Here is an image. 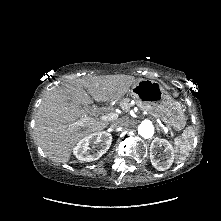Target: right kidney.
Returning a JSON list of instances; mask_svg holds the SVG:
<instances>
[{"label": "right kidney", "mask_w": 221, "mask_h": 221, "mask_svg": "<svg viewBox=\"0 0 221 221\" xmlns=\"http://www.w3.org/2000/svg\"><path fill=\"white\" fill-rule=\"evenodd\" d=\"M112 135L107 132L93 133L80 140L73 149L76 158L83 162H91L99 159L110 148ZM95 144H98L95 146ZM97 148V149H92Z\"/></svg>", "instance_id": "right-kidney-1"}]
</instances>
